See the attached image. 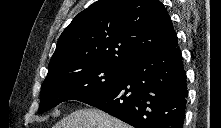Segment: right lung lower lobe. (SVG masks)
<instances>
[{"label": "right lung lower lobe", "instance_id": "98d812e1", "mask_svg": "<svg viewBox=\"0 0 221 128\" xmlns=\"http://www.w3.org/2000/svg\"><path fill=\"white\" fill-rule=\"evenodd\" d=\"M187 95L176 46L136 60L118 82L81 102L135 128H183Z\"/></svg>", "mask_w": 221, "mask_h": 128}]
</instances>
